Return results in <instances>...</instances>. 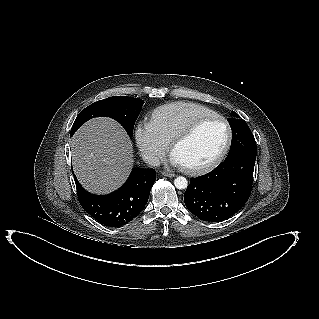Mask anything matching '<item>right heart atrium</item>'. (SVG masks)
I'll return each mask as SVG.
<instances>
[{
  "mask_svg": "<svg viewBox=\"0 0 319 319\" xmlns=\"http://www.w3.org/2000/svg\"><path fill=\"white\" fill-rule=\"evenodd\" d=\"M134 138L142 157L151 165H157L168 150L169 143L148 121L136 124Z\"/></svg>",
  "mask_w": 319,
  "mask_h": 319,
  "instance_id": "right-heart-atrium-1",
  "label": "right heart atrium"
}]
</instances>
